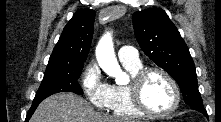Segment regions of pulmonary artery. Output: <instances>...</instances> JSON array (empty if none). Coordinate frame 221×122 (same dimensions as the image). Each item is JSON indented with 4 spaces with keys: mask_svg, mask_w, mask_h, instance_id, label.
<instances>
[{
    "mask_svg": "<svg viewBox=\"0 0 221 122\" xmlns=\"http://www.w3.org/2000/svg\"><path fill=\"white\" fill-rule=\"evenodd\" d=\"M118 57L121 62L130 64H139L138 51L132 46H122L118 51Z\"/></svg>",
    "mask_w": 221,
    "mask_h": 122,
    "instance_id": "pulmonary-artery-1",
    "label": "pulmonary artery"
}]
</instances>
